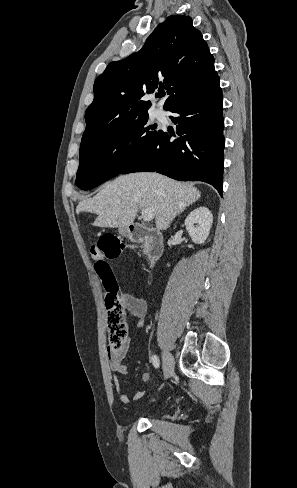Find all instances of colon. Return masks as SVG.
I'll use <instances>...</instances> for the list:
<instances>
[{"label":"colon","instance_id":"obj_1","mask_svg":"<svg viewBox=\"0 0 297 488\" xmlns=\"http://www.w3.org/2000/svg\"><path fill=\"white\" fill-rule=\"evenodd\" d=\"M129 246L123 244L114 234L102 235L97 245L92 246L91 255L95 259V271L105 288V306L109 331L110 350L118 353L127 335L124 304L119 286L111 265L107 259L118 258Z\"/></svg>","mask_w":297,"mask_h":488}]
</instances>
